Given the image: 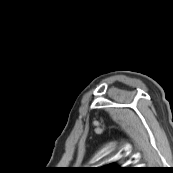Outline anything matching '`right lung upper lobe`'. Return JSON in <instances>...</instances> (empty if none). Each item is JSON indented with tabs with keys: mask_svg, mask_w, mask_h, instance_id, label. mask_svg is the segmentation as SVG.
Masks as SVG:
<instances>
[{
	"mask_svg": "<svg viewBox=\"0 0 173 173\" xmlns=\"http://www.w3.org/2000/svg\"><path fill=\"white\" fill-rule=\"evenodd\" d=\"M98 170H99V172H102V173H120V172L126 171L127 169L122 168V167L113 166V165H107V166L98 168Z\"/></svg>",
	"mask_w": 173,
	"mask_h": 173,
	"instance_id": "1",
	"label": "right lung upper lobe"
}]
</instances>
